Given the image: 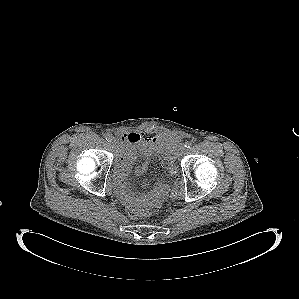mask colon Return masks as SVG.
Segmentation results:
<instances>
[{"label":"colon","instance_id":"5ec220e1","mask_svg":"<svg viewBox=\"0 0 299 299\" xmlns=\"http://www.w3.org/2000/svg\"><path fill=\"white\" fill-rule=\"evenodd\" d=\"M170 171L175 176L177 175L178 167L175 163L172 164V166L170 167ZM180 194H181V189H180L179 185H175L170 194L171 198L176 199L180 196ZM126 213L131 218H143V217H148L151 215V212L149 210L143 208L140 205H136V204H130V205L126 206Z\"/></svg>","mask_w":299,"mask_h":299}]
</instances>
